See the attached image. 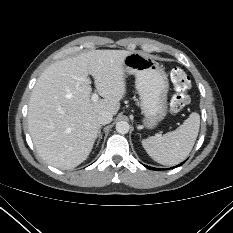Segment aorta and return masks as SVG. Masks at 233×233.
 I'll return each mask as SVG.
<instances>
[{
  "mask_svg": "<svg viewBox=\"0 0 233 233\" xmlns=\"http://www.w3.org/2000/svg\"><path fill=\"white\" fill-rule=\"evenodd\" d=\"M129 124L128 122L126 121H119L117 122L116 124V131L119 133V134H126L129 132Z\"/></svg>",
  "mask_w": 233,
  "mask_h": 233,
  "instance_id": "1",
  "label": "aorta"
}]
</instances>
